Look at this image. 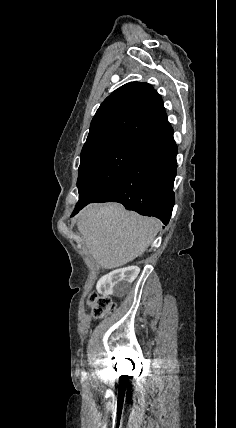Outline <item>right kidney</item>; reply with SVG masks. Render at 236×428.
<instances>
[{
	"mask_svg": "<svg viewBox=\"0 0 236 428\" xmlns=\"http://www.w3.org/2000/svg\"><path fill=\"white\" fill-rule=\"evenodd\" d=\"M140 272L138 266H129V268L107 269L105 276L101 278V282L97 284L98 292H130L131 284L137 278ZM100 286V290H99ZM115 300L121 299L120 293L114 294Z\"/></svg>",
	"mask_w": 236,
	"mask_h": 428,
	"instance_id": "obj_1",
	"label": "right kidney"
}]
</instances>
